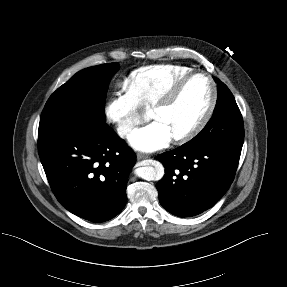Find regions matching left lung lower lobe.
I'll return each mask as SVG.
<instances>
[{
	"label": "left lung lower lobe",
	"instance_id": "left-lung-lower-lobe-1",
	"mask_svg": "<svg viewBox=\"0 0 287 287\" xmlns=\"http://www.w3.org/2000/svg\"><path fill=\"white\" fill-rule=\"evenodd\" d=\"M241 150L223 145L187 142L157 156L165 167L157 183L163 208L179 217H191L213 207L229 189Z\"/></svg>",
	"mask_w": 287,
	"mask_h": 287
}]
</instances>
